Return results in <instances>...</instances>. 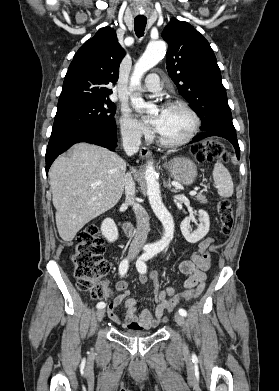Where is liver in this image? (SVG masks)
Returning a JSON list of instances; mask_svg holds the SVG:
<instances>
[{"mask_svg": "<svg viewBox=\"0 0 279 391\" xmlns=\"http://www.w3.org/2000/svg\"><path fill=\"white\" fill-rule=\"evenodd\" d=\"M126 162L94 144L78 143L58 157L49 172L56 225L71 242L89 221L113 208L124 191Z\"/></svg>", "mask_w": 279, "mask_h": 391, "instance_id": "6515ba94", "label": "liver"}]
</instances>
